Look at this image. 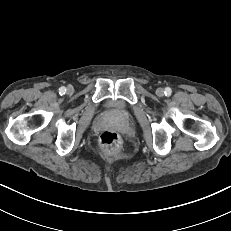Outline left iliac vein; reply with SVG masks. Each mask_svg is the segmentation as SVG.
Instances as JSON below:
<instances>
[{
	"label": "left iliac vein",
	"mask_w": 231,
	"mask_h": 231,
	"mask_svg": "<svg viewBox=\"0 0 231 231\" xmlns=\"http://www.w3.org/2000/svg\"><path fill=\"white\" fill-rule=\"evenodd\" d=\"M156 95L159 97L164 96V89L163 88H157L156 89Z\"/></svg>",
	"instance_id": "left-iliac-vein-1"
}]
</instances>
